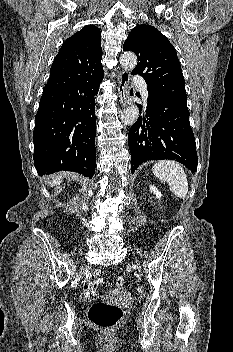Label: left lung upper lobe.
<instances>
[{
	"label": "left lung upper lobe",
	"mask_w": 233,
	"mask_h": 352,
	"mask_svg": "<svg viewBox=\"0 0 233 352\" xmlns=\"http://www.w3.org/2000/svg\"><path fill=\"white\" fill-rule=\"evenodd\" d=\"M123 50L133 51L138 63L132 74H140L148 89L187 105L185 80L173 45L155 27L138 25L131 30Z\"/></svg>",
	"instance_id": "left-lung-upper-lobe-1"
}]
</instances>
